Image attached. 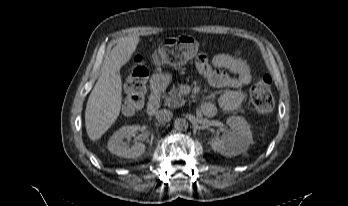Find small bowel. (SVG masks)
<instances>
[{
	"label": "small bowel",
	"instance_id": "small-bowel-1",
	"mask_svg": "<svg viewBox=\"0 0 348 206\" xmlns=\"http://www.w3.org/2000/svg\"><path fill=\"white\" fill-rule=\"evenodd\" d=\"M196 66L211 86L227 89L219 98L224 109L233 110L243 103V88L251 82L252 74L248 63L239 52L217 54L211 61L202 54L197 58Z\"/></svg>",
	"mask_w": 348,
	"mask_h": 206
}]
</instances>
